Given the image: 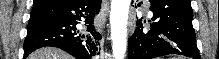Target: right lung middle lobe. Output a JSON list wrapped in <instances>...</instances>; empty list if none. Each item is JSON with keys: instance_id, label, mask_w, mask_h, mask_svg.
<instances>
[{"instance_id": "dd1d6c3e", "label": "right lung middle lobe", "mask_w": 219, "mask_h": 59, "mask_svg": "<svg viewBox=\"0 0 219 59\" xmlns=\"http://www.w3.org/2000/svg\"><path fill=\"white\" fill-rule=\"evenodd\" d=\"M47 19L48 17L42 14L33 15V16H30L28 25L43 22Z\"/></svg>"}]
</instances>
